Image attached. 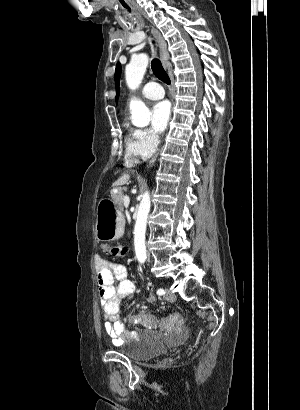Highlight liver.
Returning <instances> with one entry per match:
<instances>
[{
    "label": "liver",
    "mask_w": 300,
    "mask_h": 410,
    "mask_svg": "<svg viewBox=\"0 0 300 410\" xmlns=\"http://www.w3.org/2000/svg\"><path fill=\"white\" fill-rule=\"evenodd\" d=\"M130 179V174H124L121 176L115 183L114 186H119V185H124L127 183V181Z\"/></svg>",
    "instance_id": "1"
}]
</instances>
